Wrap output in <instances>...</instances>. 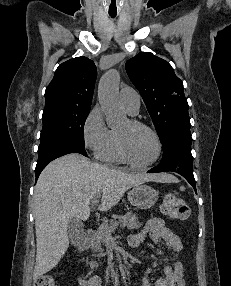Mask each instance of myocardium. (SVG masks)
Masks as SVG:
<instances>
[{"instance_id":"f54148a6","label":"myocardium","mask_w":231,"mask_h":286,"mask_svg":"<svg viewBox=\"0 0 231 286\" xmlns=\"http://www.w3.org/2000/svg\"><path fill=\"white\" fill-rule=\"evenodd\" d=\"M129 124L132 127H138V128H143L145 130H147L148 132H150L152 134V136L154 137L155 143H156V154L154 156V158L149 161L148 163L145 164H137L135 163L133 160H131V158L128 156L125 147H124V143L123 140L121 138V136L116 132V147H117V152L121 158V160L126 163L127 165H129L130 167L137 169V170H145L150 168L151 166H153L161 157L162 154V142L160 139L159 134L157 133V131L149 126L148 124L135 120V119H130L128 120Z\"/></svg>"}]
</instances>
